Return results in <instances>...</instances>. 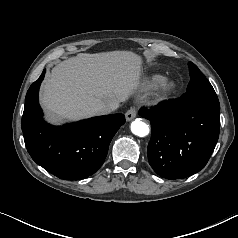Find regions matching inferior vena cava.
I'll use <instances>...</instances> for the list:
<instances>
[{
  "label": "inferior vena cava",
  "instance_id": "602c4592",
  "mask_svg": "<svg viewBox=\"0 0 238 238\" xmlns=\"http://www.w3.org/2000/svg\"><path fill=\"white\" fill-rule=\"evenodd\" d=\"M118 108V104L111 103V104H101L98 106L97 111L99 114L105 115L110 114L111 112L115 111Z\"/></svg>",
  "mask_w": 238,
  "mask_h": 238
}]
</instances>
